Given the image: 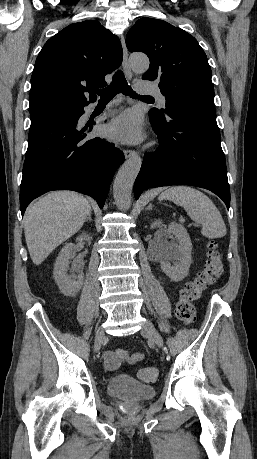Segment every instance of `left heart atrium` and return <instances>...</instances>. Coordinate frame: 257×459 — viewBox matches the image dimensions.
Returning <instances> with one entry per match:
<instances>
[{
	"instance_id": "1",
	"label": "left heart atrium",
	"mask_w": 257,
	"mask_h": 459,
	"mask_svg": "<svg viewBox=\"0 0 257 459\" xmlns=\"http://www.w3.org/2000/svg\"><path fill=\"white\" fill-rule=\"evenodd\" d=\"M106 132L116 141L138 143L144 138L141 116L135 111H126L108 124Z\"/></svg>"
}]
</instances>
